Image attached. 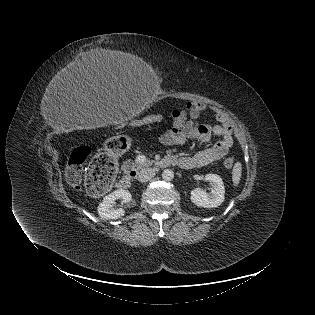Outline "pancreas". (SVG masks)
<instances>
[{"label":"pancreas","instance_id":"1","mask_svg":"<svg viewBox=\"0 0 315 315\" xmlns=\"http://www.w3.org/2000/svg\"><path fill=\"white\" fill-rule=\"evenodd\" d=\"M149 163L146 162V163H139L137 161L133 162L132 164H129V165H124L126 171L128 172L129 170H136V171H139L140 169H142L143 167H145L147 164Z\"/></svg>","mask_w":315,"mask_h":315}]
</instances>
